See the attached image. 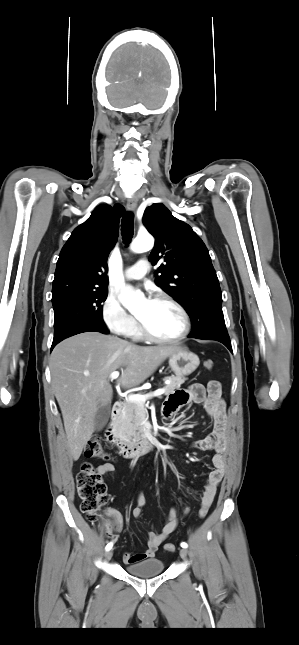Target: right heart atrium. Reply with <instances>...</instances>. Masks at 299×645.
Returning a JSON list of instances; mask_svg holds the SVG:
<instances>
[{"instance_id": "right-heart-atrium-1", "label": "right heart atrium", "mask_w": 299, "mask_h": 645, "mask_svg": "<svg viewBox=\"0 0 299 645\" xmlns=\"http://www.w3.org/2000/svg\"><path fill=\"white\" fill-rule=\"evenodd\" d=\"M101 317L106 328L115 335H130L137 326L135 318L112 295H108L104 300Z\"/></svg>"}]
</instances>
